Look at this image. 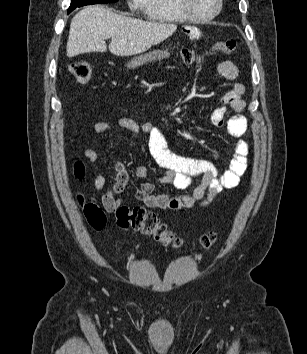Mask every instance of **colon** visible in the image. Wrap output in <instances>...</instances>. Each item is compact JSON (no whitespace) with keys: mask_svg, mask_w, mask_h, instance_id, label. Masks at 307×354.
<instances>
[{"mask_svg":"<svg viewBox=\"0 0 307 354\" xmlns=\"http://www.w3.org/2000/svg\"><path fill=\"white\" fill-rule=\"evenodd\" d=\"M235 49L236 43L233 40L216 42L211 47L212 51H220L223 53H232ZM180 56L181 59L188 64L197 61L199 58L197 52L192 49H182ZM68 73L76 82L86 84L91 80L92 66L87 61H77L69 65ZM75 173L78 177L84 175V168L81 164H77ZM79 202L81 203L84 215L89 224L94 229H102L106 223V214L103 209L93 200H85L80 197ZM108 211L114 212L116 224L120 228H131L140 231L145 235L153 237L162 245L170 246L173 249H178L181 246V239L176 237L165 224L161 223L153 212L146 210L142 206L130 208L119 205ZM215 241L216 235L213 232H209L201 236L198 243L203 249H209Z\"/></svg>","mask_w":307,"mask_h":354,"instance_id":"obj_1","label":"colon"}]
</instances>
